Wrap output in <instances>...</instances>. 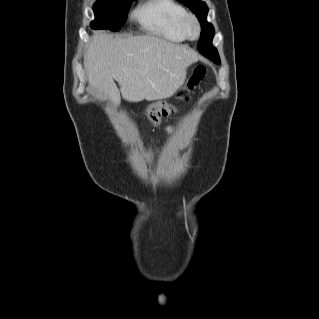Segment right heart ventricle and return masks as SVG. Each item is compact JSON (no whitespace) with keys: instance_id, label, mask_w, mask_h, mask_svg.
Segmentation results:
<instances>
[{"instance_id":"obj_1","label":"right heart ventricle","mask_w":319,"mask_h":319,"mask_svg":"<svg viewBox=\"0 0 319 319\" xmlns=\"http://www.w3.org/2000/svg\"><path fill=\"white\" fill-rule=\"evenodd\" d=\"M186 15V9L176 0H150L134 14L148 33L172 42L187 39L181 28Z\"/></svg>"}]
</instances>
